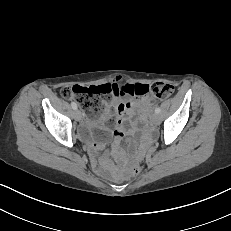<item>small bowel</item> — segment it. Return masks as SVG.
Listing matches in <instances>:
<instances>
[{
	"mask_svg": "<svg viewBox=\"0 0 231 231\" xmlns=\"http://www.w3.org/2000/svg\"><path fill=\"white\" fill-rule=\"evenodd\" d=\"M113 84L120 88V97L123 98V100L114 107V110L117 113L116 118L107 122L110 115H105L101 117L98 122L87 120L85 123L87 129L94 131L99 129L102 132V137L96 140L92 145L93 153L100 151L104 147L106 135L108 133H112L114 137V148H118L124 135L132 134L135 130L134 109L138 101L130 100V98L135 97V95L125 90L126 87L134 85L123 83L120 78H116L115 83ZM107 105L110 107L109 103ZM94 163L97 164V161L94 160Z\"/></svg>",
	"mask_w": 231,
	"mask_h": 231,
	"instance_id": "c3829d8e",
	"label": "small bowel"
}]
</instances>
